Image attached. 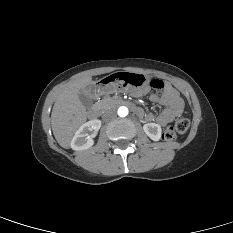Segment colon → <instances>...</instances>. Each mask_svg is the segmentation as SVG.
<instances>
[{"mask_svg": "<svg viewBox=\"0 0 233 233\" xmlns=\"http://www.w3.org/2000/svg\"><path fill=\"white\" fill-rule=\"evenodd\" d=\"M150 86L155 89H164L165 83L159 79H152L150 81ZM189 125L188 119L180 118L176 120L174 124L168 125L165 128L163 138L167 141L175 140L178 135H182L188 130Z\"/></svg>", "mask_w": 233, "mask_h": 233, "instance_id": "colon-1", "label": "colon"}]
</instances>
